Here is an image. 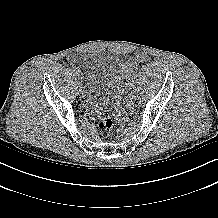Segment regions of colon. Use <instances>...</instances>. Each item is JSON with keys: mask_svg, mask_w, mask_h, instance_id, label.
<instances>
[{"mask_svg": "<svg viewBox=\"0 0 218 218\" xmlns=\"http://www.w3.org/2000/svg\"><path fill=\"white\" fill-rule=\"evenodd\" d=\"M142 56L144 54L142 53ZM98 131L102 138H108L113 131V120L109 112H102L98 117Z\"/></svg>", "mask_w": 218, "mask_h": 218, "instance_id": "1", "label": "colon"}]
</instances>
